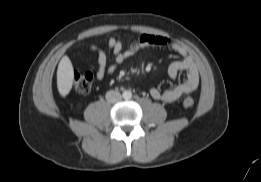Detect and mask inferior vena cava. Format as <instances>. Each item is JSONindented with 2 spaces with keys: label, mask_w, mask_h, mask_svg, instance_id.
Listing matches in <instances>:
<instances>
[{
  "label": "inferior vena cava",
  "mask_w": 261,
  "mask_h": 182,
  "mask_svg": "<svg viewBox=\"0 0 261 182\" xmlns=\"http://www.w3.org/2000/svg\"><path fill=\"white\" fill-rule=\"evenodd\" d=\"M105 98L110 103H116L121 100L122 96L119 92L110 90L106 93Z\"/></svg>",
  "instance_id": "602c4592"
}]
</instances>
